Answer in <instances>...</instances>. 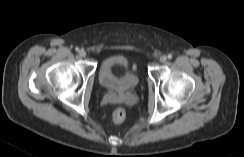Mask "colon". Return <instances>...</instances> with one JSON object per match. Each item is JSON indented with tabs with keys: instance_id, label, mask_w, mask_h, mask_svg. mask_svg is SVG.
<instances>
[{
	"instance_id": "1",
	"label": "colon",
	"mask_w": 244,
	"mask_h": 157,
	"mask_svg": "<svg viewBox=\"0 0 244 157\" xmlns=\"http://www.w3.org/2000/svg\"><path fill=\"white\" fill-rule=\"evenodd\" d=\"M126 112L122 107L116 108L111 116V121L114 124H120L125 120Z\"/></svg>"
}]
</instances>
